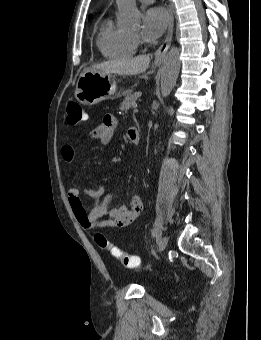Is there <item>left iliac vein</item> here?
<instances>
[{
    "label": "left iliac vein",
    "instance_id": "4c4485c4",
    "mask_svg": "<svg viewBox=\"0 0 261 340\" xmlns=\"http://www.w3.org/2000/svg\"><path fill=\"white\" fill-rule=\"evenodd\" d=\"M168 244V237L167 236H163L159 242H158V251L162 252Z\"/></svg>",
    "mask_w": 261,
    "mask_h": 340
}]
</instances>
